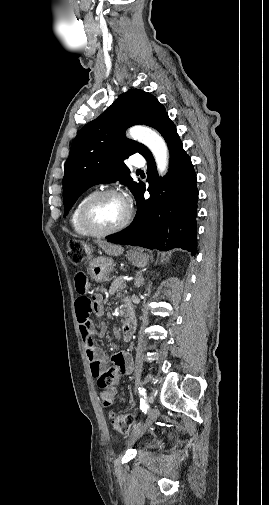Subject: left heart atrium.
Returning a JSON list of instances; mask_svg holds the SVG:
<instances>
[{
  "instance_id": "left-heart-atrium-1",
  "label": "left heart atrium",
  "mask_w": 269,
  "mask_h": 505,
  "mask_svg": "<svg viewBox=\"0 0 269 505\" xmlns=\"http://www.w3.org/2000/svg\"><path fill=\"white\" fill-rule=\"evenodd\" d=\"M123 199H124L125 203L127 204L128 203L127 198L125 196H123Z\"/></svg>"
}]
</instances>
